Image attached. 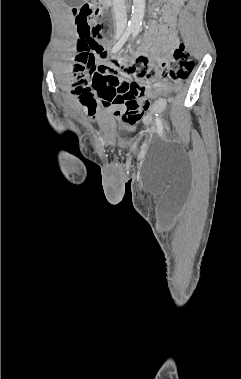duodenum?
I'll use <instances>...</instances> for the list:
<instances>
[{
  "mask_svg": "<svg viewBox=\"0 0 241 379\" xmlns=\"http://www.w3.org/2000/svg\"><path fill=\"white\" fill-rule=\"evenodd\" d=\"M105 4L110 5L112 0H103Z\"/></svg>",
  "mask_w": 241,
  "mask_h": 379,
  "instance_id": "obj_1",
  "label": "duodenum"
}]
</instances>
